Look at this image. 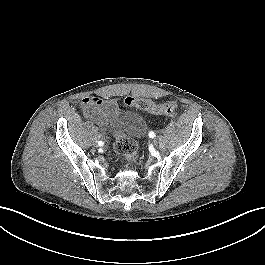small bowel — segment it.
<instances>
[{
	"label": "small bowel",
	"mask_w": 265,
	"mask_h": 265,
	"mask_svg": "<svg viewBox=\"0 0 265 265\" xmlns=\"http://www.w3.org/2000/svg\"><path fill=\"white\" fill-rule=\"evenodd\" d=\"M116 105L114 99L104 100L98 96L84 97L81 100L83 113L97 125L103 126L106 114Z\"/></svg>",
	"instance_id": "obj_1"
}]
</instances>
